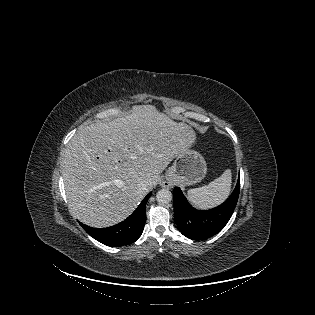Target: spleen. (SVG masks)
Instances as JSON below:
<instances>
[{
    "label": "spleen",
    "mask_w": 315,
    "mask_h": 315,
    "mask_svg": "<svg viewBox=\"0 0 315 315\" xmlns=\"http://www.w3.org/2000/svg\"><path fill=\"white\" fill-rule=\"evenodd\" d=\"M231 179V170L227 169L220 177L210 182L208 185L188 190V199L197 208H213L221 204L229 196L232 183Z\"/></svg>",
    "instance_id": "1"
}]
</instances>
